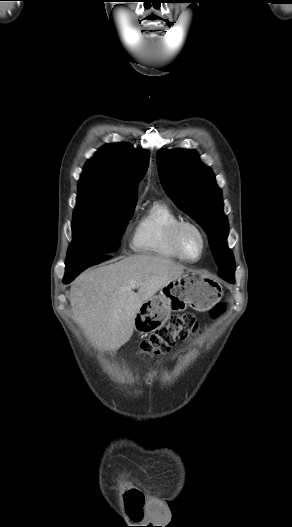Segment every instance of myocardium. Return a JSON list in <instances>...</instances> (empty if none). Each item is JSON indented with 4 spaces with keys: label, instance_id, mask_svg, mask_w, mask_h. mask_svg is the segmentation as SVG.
Returning <instances> with one entry per match:
<instances>
[{
    "label": "myocardium",
    "instance_id": "obj_1",
    "mask_svg": "<svg viewBox=\"0 0 292 527\" xmlns=\"http://www.w3.org/2000/svg\"><path fill=\"white\" fill-rule=\"evenodd\" d=\"M185 228L194 229L201 237L202 247H201V252L197 258H194V259L189 258L183 252V249L181 246V233ZM171 243H172L173 249L175 250L176 254L181 260L188 262V263H196L203 258L207 250L208 239H207V235L205 231L202 229V227L199 224L191 220H181L177 222L172 228Z\"/></svg>",
    "mask_w": 292,
    "mask_h": 527
}]
</instances>
